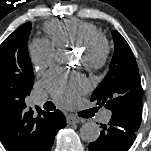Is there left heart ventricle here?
Here are the masks:
<instances>
[{"instance_id": "obj_1", "label": "left heart ventricle", "mask_w": 151, "mask_h": 151, "mask_svg": "<svg viewBox=\"0 0 151 151\" xmlns=\"http://www.w3.org/2000/svg\"><path fill=\"white\" fill-rule=\"evenodd\" d=\"M80 61H81V62L83 61V57H82V55L80 56Z\"/></svg>"}]
</instances>
